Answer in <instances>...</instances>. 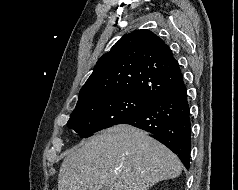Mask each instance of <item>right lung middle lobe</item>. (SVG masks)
<instances>
[{"label":"right lung middle lobe","instance_id":"right-lung-middle-lobe-1","mask_svg":"<svg viewBox=\"0 0 238 190\" xmlns=\"http://www.w3.org/2000/svg\"><path fill=\"white\" fill-rule=\"evenodd\" d=\"M152 100L132 94L97 97L79 103L72 112L68 127L82 138L119 124L122 120L147 107Z\"/></svg>","mask_w":238,"mask_h":190}]
</instances>
